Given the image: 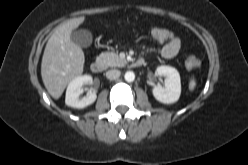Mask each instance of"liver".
<instances>
[{"label": "liver", "instance_id": "6515ba94", "mask_svg": "<svg viewBox=\"0 0 248 165\" xmlns=\"http://www.w3.org/2000/svg\"><path fill=\"white\" fill-rule=\"evenodd\" d=\"M85 17L67 20L56 27L49 38L41 63V76L48 93L59 99L67 84L83 72L84 52L71 39L72 31Z\"/></svg>", "mask_w": 248, "mask_h": 165}]
</instances>
